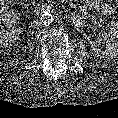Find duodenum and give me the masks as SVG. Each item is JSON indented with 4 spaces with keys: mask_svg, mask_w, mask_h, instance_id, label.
Returning <instances> with one entry per match:
<instances>
[{
    "mask_svg": "<svg viewBox=\"0 0 118 118\" xmlns=\"http://www.w3.org/2000/svg\"><path fill=\"white\" fill-rule=\"evenodd\" d=\"M35 10L37 13H45L48 11L53 10V6L50 4H47L46 2L40 1V0H36L35 2ZM72 23L76 26V27H81L83 25V20L80 16H74L72 18Z\"/></svg>",
    "mask_w": 118,
    "mask_h": 118,
    "instance_id": "1",
    "label": "duodenum"
}]
</instances>
